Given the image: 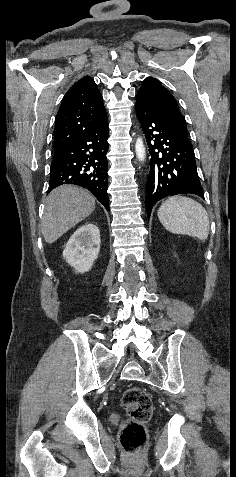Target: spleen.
Returning a JSON list of instances; mask_svg holds the SVG:
<instances>
[{"label": "spleen", "instance_id": "3e777b00", "mask_svg": "<svg viewBox=\"0 0 236 477\" xmlns=\"http://www.w3.org/2000/svg\"><path fill=\"white\" fill-rule=\"evenodd\" d=\"M158 218L164 228L175 234H187L204 241L208 238L210 221L205 208L195 200L174 196L162 203Z\"/></svg>", "mask_w": 236, "mask_h": 477}]
</instances>
